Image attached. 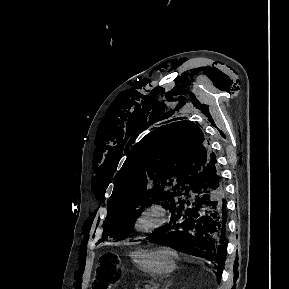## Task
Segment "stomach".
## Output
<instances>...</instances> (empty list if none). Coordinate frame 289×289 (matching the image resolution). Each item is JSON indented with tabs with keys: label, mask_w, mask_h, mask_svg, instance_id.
<instances>
[{
	"label": "stomach",
	"mask_w": 289,
	"mask_h": 289,
	"mask_svg": "<svg viewBox=\"0 0 289 289\" xmlns=\"http://www.w3.org/2000/svg\"><path fill=\"white\" fill-rule=\"evenodd\" d=\"M130 256L141 271L150 275H166L175 269L174 255L168 248H158L155 251L139 249Z\"/></svg>",
	"instance_id": "stomach-1"
}]
</instances>
